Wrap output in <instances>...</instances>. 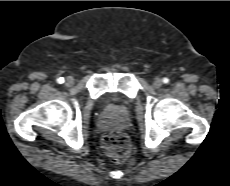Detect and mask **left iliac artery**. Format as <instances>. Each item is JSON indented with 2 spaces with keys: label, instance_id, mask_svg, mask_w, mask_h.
Instances as JSON below:
<instances>
[{
  "label": "left iliac artery",
  "instance_id": "1",
  "mask_svg": "<svg viewBox=\"0 0 230 186\" xmlns=\"http://www.w3.org/2000/svg\"><path fill=\"white\" fill-rule=\"evenodd\" d=\"M163 83H165V84H167V83H169V79L168 78H163Z\"/></svg>",
  "mask_w": 230,
  "mask_h": 186
}]
</instances>
